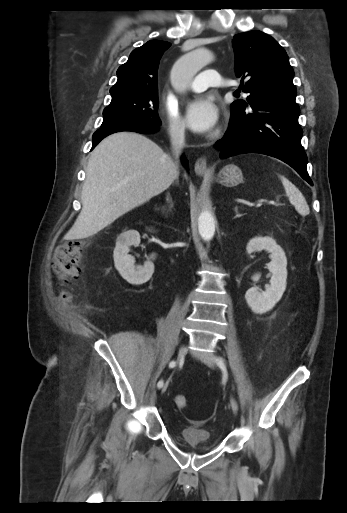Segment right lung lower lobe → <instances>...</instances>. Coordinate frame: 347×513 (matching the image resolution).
<instances>
[{
	"mask_svg": "<svg viewBox=\"0 0 347 513\" xmlns=\"http://www.w3.org/2000/svg\"><path fill=\"white\" fill-rule=\"evenodd\" d=\"M158 130V126L149 125L137 121H124L117 122L107 126H101L99 130H97L93 134V146L92 149L106 136L120 131H132L138 133H154ZM182 161L184 166H188V161L185 157H182Z\"/></svg>",
	"mask_w": 347,
	"mask_h": 513,
	"instance_id": "right-lung-lower-lobe-1",
	"label": "right lung lower lobe"
}]
</instances>
